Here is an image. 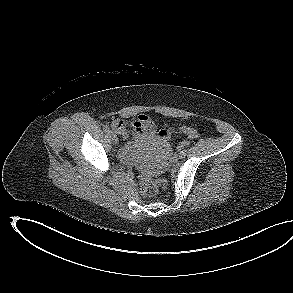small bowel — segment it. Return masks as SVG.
<instances>
[{"mask_svg": "<svg viewBox=\"0 0 293 293\" xmlns=\"http://www.w3.org/2000/svg\"><path fill=\"white\" fill-rule=\"evenodd\" d=\"M112 127L122 137L129 135V129L132 128L138 138H148L155 133V124L150 117L139 115L132 122L128 123L123 119H116L112 122Z\"/></svg>", "mask_w": 293, "mask_h": 293, "instance_id": "1", "label": "small bowel"}]
</instances>
